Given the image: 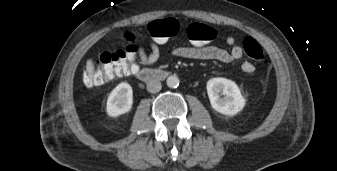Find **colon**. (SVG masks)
Returning a JSON list of instances; mask_svg holds the SVG:
<instances>
[{
  "label": "colon",
  "mask_w": 337,
  "mask_h": 171,
  "mask_svg": "<svg viewBox=\"0 0 337 171\" xmlns=\"http://www.w3.org/2000/svg\"><path fill=\"white\" fill-rule=\"evenodd\" d=\"M147 29L158 45H167L171 38L179 33L180 25L177 19L167 18L150 22ZM186 35L191 43L200 46L213 41L217 36V31L209 25L194 22L187 27ZM242 45L244 52L254 61L262 63L265 60L262 46L253 37H246ZM136 58L137 47L135 45H130L125 50L103 53L96 60L95 66L84 72L83 82L87 87L112 82L134 72L137 67Z\"/></svg>",
  "instance_id": "5ec220e1"
}]
</instances>
